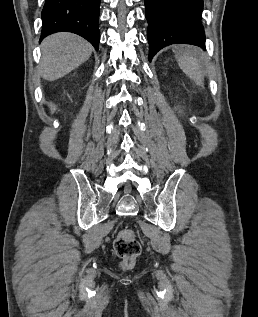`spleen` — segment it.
Returning <instances> with one entry per match:
<instances>
[{"instance_id":"obj_1","label":"spleen","mask_w":258,"mask_h":317,"mask_svg":"<svg viewBox=\"0 0 258 317\" xmlns=\"http://www.w3.org/2000/svg\"><path fill=\"white\" fill-rule=\"evenodd\" d=\"M173 50L183 72L187 76H190V78H193L196 84H203V70L196 50L194 48H182V50H178L177 46H174Z\"/></svg>"}]
</instances>
